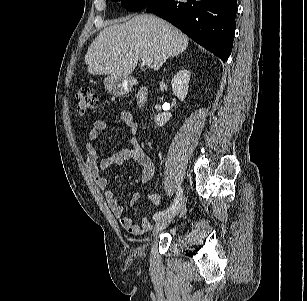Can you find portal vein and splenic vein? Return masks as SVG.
Instances as JSON below:
<instances>
[{
	"label": "portal vein and splenic vein",
	"mask_w": 307,
	"mask_h": 301,
	"mask_svg": "<svg viewBox=\"0 0 307 301\" xmlns=\"http://www.w3.org/2000/svg\"><path fill=\"white\" fill-rule=\"evenodd\" d=\"M141 60L147 66H150L153 63V59L151 57H148V56L141 57Z\"/></svg>",
	"instance_id": "1"
}]
</instances>
